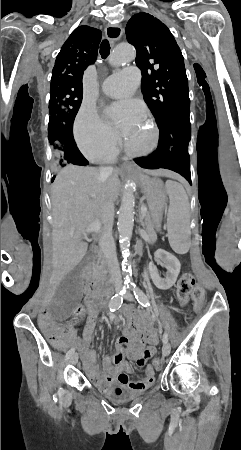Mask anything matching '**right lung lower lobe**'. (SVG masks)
Segmentation results:
<instances>
[{"instance_id": "98d812e1", "label": "right lung lower lobe", "mask_w": 241, "mask_h": 450, "mask_svg": "<svg viewBox=\"0 0 241 450\" xmlns=\"http://www.w3.org/2000/svg\"><path fill=\"white\" fill-rule=\"evenodd\" d=\"M64 141L67 146L69 162L74 165H87L88 161L81 154L79 149L76 146L73 135L72 136H64ZM55 176L52 178L54 180Z\"/></svg>"}]
</instances>
